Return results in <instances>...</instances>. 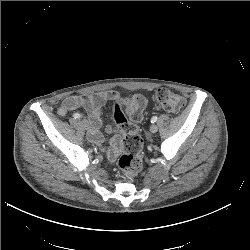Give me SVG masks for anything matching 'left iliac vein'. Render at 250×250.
<instances>
[{
	"mask_svg": "<svg viewBox=\"0 0 250 250\" xmlns=\"http://www.w3.org/2000/svg\"><path fill=\"white\" fill-rule=\"evenodd\" d=\"M150 131L152 132V133H156L157 131H158V127H157V125H152L151 127H150Z\"/></svg>",
	"mask_w": 250,
	"mask_h": 250,
	"instance_id": "left-iliac-vein-1",
	"label": "left iliac vein"
}]
</instances>
